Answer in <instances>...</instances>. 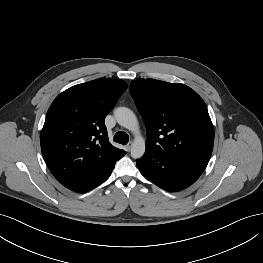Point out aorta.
<instances>
[{
  "instance_id": "obj_1",
  "label": "aorta",
  "mask_w": 263,
  "mask_h": 263,
  "mask_svg": "<svg viewBox=\"0 0 263 263\" xmlns=\"http://www.w3.org/2000/svg\"><path fill=\"white\" fill-rule=\"evenodd\" d=\"M114 116L119 125L134 133L135 138L131 144V156L134 159L141 158L145 153V141L139 132L136 115L126 107H119L114 111Z\"/></svg>"
}]
</instances>
